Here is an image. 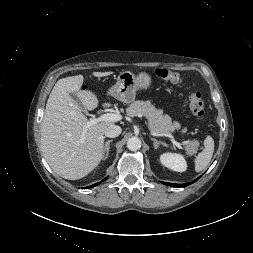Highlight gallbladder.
I'll use <instances>...</instances> for the list:
<instances>
[{
    "label": "gallbladder",
    "mask_w": 253,
    "mask_h": 253,
    "mask_svg": "<svg viewBox=\"0 0 253 253\" xmlns=\"http://www.w3.org/2000/svg\"><path fill=\"white\" fill-rule=\"evenodd\" d=\"M70 96L72 97V99L80 106V108H83L80 104L79 98L75 93H70Z\"/></svg>",
    "instance_id": "1"
}]
</instances>
